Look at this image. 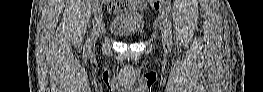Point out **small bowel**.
<instances>
[{
  "label": "small bowel",
  "mask_w": 263,
  "mask_h": 92,
  "mask_svg": "<svg viewBox=\"0 0 263 92\" xmlns=\"http://www.w3.org/2000/svg\"><path fill=\"white\" fill-rule=\"evenodd\" d=\"M146 1H133L134 7L137 9H141L145 7Z\"/></svg>",
  "instance_id": "1"
}]
</instances>
